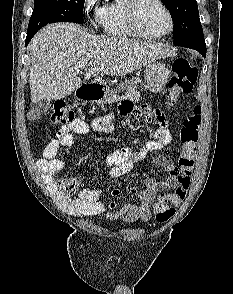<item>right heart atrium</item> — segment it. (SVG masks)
Wrapping results in <instances>:
<instances>
[{
    "instance_id": "obj_1",
    "label": "right heart atrium",
    "mask_w": 233,
    "mask_h": 294,
    "mask_svg": "<svg viewBox=\"0 0 233 294\" xmlns=\"http://www.w3.org/2000/svg\"><path fill=\"white\" fill-rule=\"evenodd\" d=\"M83 10L87 14H91L98 22L99 16L103 10L101 0H83Z\"/></svg>"
}]
</instances>
